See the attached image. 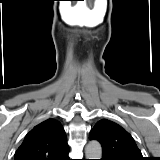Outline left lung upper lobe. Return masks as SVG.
<instances>
[{
    "instance_id": "obj_1",
    "label": "left lung upper lobe",
    "mask_w": 160,
    "mask_h": 160,
    "mask_svg": "<svg viewBox=\"0 0 160 160\" xmlns=\"http://www.w3.org/2000/svg\"><path fill=\"white\" fill-rule=\"evenodd\" d=\"M102 145V160H144L133 137L120 125L102 119L89 135Z\"/></svg>"
}]
</instances>
